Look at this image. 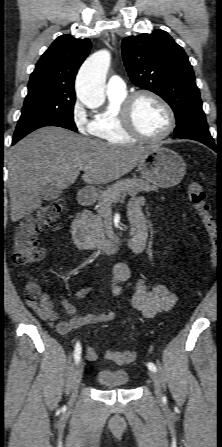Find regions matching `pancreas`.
<instances>
[{"mask_svg":"<svg viewBox=\"0 0 222 447\" xmlns=\"http://www.w3.org/2000/svg\"><path fill=\"white\" fill-rule=\"evenodd\" d=\"M157 190L158 188L156 186L150 185L148 182L136 177L121 179L108 186V189L100 192L98 196L99 209L97 210V214L87 212L85 219L87 232L95 242H102L105 240L103 216L113 203L117 202L120 198L124 199L127 194L136 196L142 191L150 192Z\"/></svg>","mask_w":222,"mask_h":447,"instance_id":"obj_1","label":"pancreas"}]
</instances>
